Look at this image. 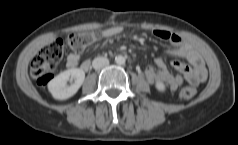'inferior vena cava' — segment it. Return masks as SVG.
I'll return each mask as SVG.
<instances>
[{"mask_svg": "<svg viewBox=\"0 0 238 145\" xmlns=\"http://www.w3.org/2000/svg\"><path fill=\"white\" fill-rule=\"evenodd\" d=\"M109 64V60L106 57H96L92 61V66L95 70H99Z\"/></svg>", "mask_w": 238, "mask_h": 145, "instance_id": "inferior-vena-cava-1", "label": "inferior vena cava"}]
</instances>
